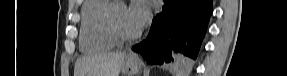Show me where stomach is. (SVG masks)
<instances>
[{
	"instance_id": "0dacf381",
	"label": "stomach",
	"mask_w": 287,
	"mask_h": 76,
	"mask_svg": "<svg viewBox=\"0 0 287 76\" xmlns=\"http://www.w3.org/2000/svg\"><path fill=\"white\" fill-rule=\"evenodd\" d=\"M141 69V62L132 55L125 56L121 72L123 76H135Z\"/></svg>"
}]
</instances>
